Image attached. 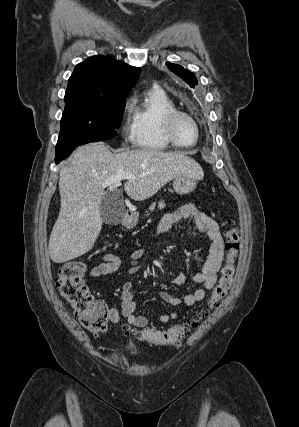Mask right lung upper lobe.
<instances>
[{
  "mask_svg": "<svg viewBox=\"0 0 299 427\" xmlns=\"http://www.w3.org/2000/svg\"><path fill=\"white\" fill-rule=\"evenodd\" d=\"M140 68L104 56H92L75 66L64 100L81 96H127L138 80Z\"/></svg>",
  "mask_w": 299,
  "mask_h": 427,
  "instance_id": "obj_1",
  "label": "right lung upper lobe"
}]
</instances>
